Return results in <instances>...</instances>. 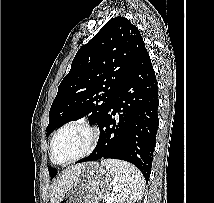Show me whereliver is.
I'll use <instances>...</instances> for the list:
<instances>
[{"mask_svg":"<svg viewBox=\"0 0 214 203\" xmlns=\"http://www.w3.org/2000/svg\"><path fill=\"white\" fill-rule=\"evenodd\" d=\"M83 164L71 166L64 170L52 184L51 203H59L63 194L73 185Z\"/></svg>","mask_w":214,"mask_h":203,"instance_id":"obj_1","label":"liver"}]
</instances>
